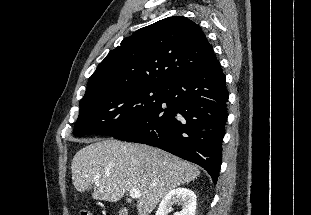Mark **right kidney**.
<instances>
[{
	"label": "right kidney",
	"instance_id": "obj_1",
	"mask_svg": "<svg viewBox=\"0 0 311 215\" xmlns=\"http://www.w3.org/2000/svg\"><path fill=\"white\" fill-rule=\"evenodd\" d=\"M173 204L182 205V209L175 215H195L197 197L188 189L179 187L169 191L159 204L156 215H167L172 210Z\"/></svg>",
	"mask_w": 311,
	"mask_h": 215
}]
</instances>
